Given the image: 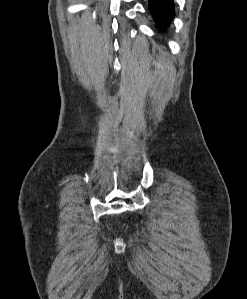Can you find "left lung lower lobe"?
<instances>
[{"label": "left lung lower lobe", "mask_w": 247, "mask_h": 299, "mask_svg": "<svg viewBox=\"0 0 247 299\" xmlns=\"http://www.w3.org/2000/svg\"><path fill=\"white\" fill-rule=\"evenodd\" d=\"M149 9L160 29H163L174 16L173 0H149Z\"/></svg>", "instance_id": "obj_1"}]
</instances>
